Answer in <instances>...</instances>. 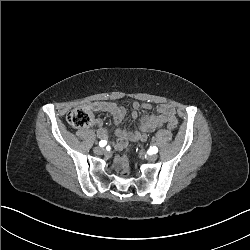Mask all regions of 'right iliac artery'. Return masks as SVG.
<instances>
[{
	"mask_svg": "<svg viewBox=\"0 0 250 250\" xmlns=\"http://www.w3.org/2000/svg\"><path fill=\"white\" fill-rule=\"evenodd\" d=\"M106 144H107V141H105V140H101V141L99 142V146H100V147H104Z\"/></svg>",
	"mask_w": 250,
	"mask_h": 250,
	"instance_id": "right-iliac-artery-1",
	"label": "right iliac artery"
}]
</instances>
